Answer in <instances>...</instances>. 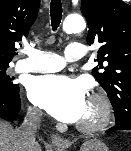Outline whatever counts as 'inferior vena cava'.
<instances>
[{
    "mask_svg": "<svg viewBox=\"0 0 131 151\" xmlns=\"http://www.w3.org/2000/svg\"><path fill=\"white\" fill-rule=\"evenodd\" d=\"M41 118L35 112L29 111L22 125L16 129L19 141L25 151H36L35 135L40 127Z\"/></svg>",
    "mask_w": 131,
    "mask_h": 151,
    "instance_id": "1",
    "label": "inferior vena cava"
}]
</instances>
